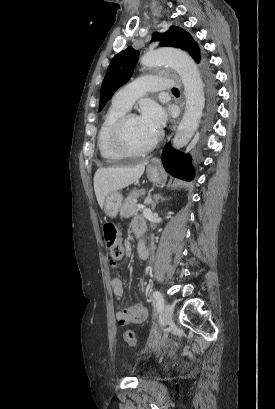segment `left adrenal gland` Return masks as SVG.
<instances>
[{
	"label": "left adrenal gland",
	"instance_id": "a2214340",
	"mask_svg": "<svg viewBox=\"0 0 275 409\" xmlns=\"http://www.w3.org/2000/svg\"><path fill=\"white\" fill-rule=\"evenodd\" d=\"M157 202H158V198H157V196H155V200H151V198H150V200L148 202V205H152L153 209H155V207L157 205Z\"/></svg>",
	"mask_w": 275,
	"mask_h": 409
}]
</instances>
